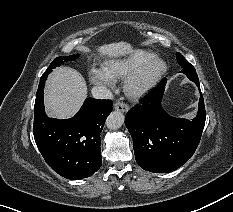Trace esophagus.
I'll return each mask as SVG.
<instances>
[{
  "label": "esophagus",
  "mask_w": 233,
  "mask_h": 212,
  "mask_svg": "<svg viewBox=\"0 0 233 212\" xmlns=\"http://www.w3.org/2000/svg\"><path fill=\"white\" fill-rule=\"evenodd\" d=\"M114 108L117 111H121L123 113H126L129 110V106L126 103H124V102H116L114 104Z\"/></svg>",
  "instance_id": "obj_1"
}]
</instances>
